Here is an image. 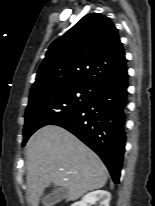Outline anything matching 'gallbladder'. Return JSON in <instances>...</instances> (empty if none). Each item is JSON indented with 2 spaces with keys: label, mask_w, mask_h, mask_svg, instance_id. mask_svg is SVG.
I'll list each match as a JSON object with an SVG mask.
<instances>
[{
  "label": "gallbladder",
  "mask_w": 155,
  "mask_h": 206,
  "mask_svg": "<svg viewBox=\"0 0 155 206\" xmlns=\"http://www.w3.org/2000/svg\"><path fill=\"white\" fill-rule=\"evenodd\" d=\"M66 193L67 191L64 188H54L42 198V204L44 206H54L65 198Z\"/></svg>",
  "instance_id": "1"
}]
</instances>
